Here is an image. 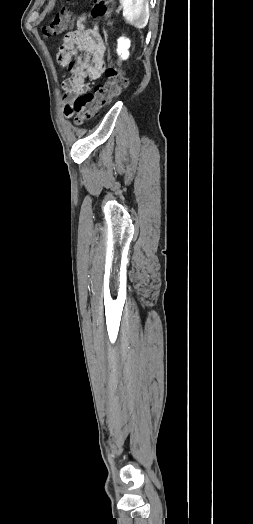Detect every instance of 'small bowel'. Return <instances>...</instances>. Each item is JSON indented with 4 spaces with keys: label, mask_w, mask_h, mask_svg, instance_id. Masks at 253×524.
<instances>
[{
    "label": "small bowel",
    "mask_w": 253,
    "mask_h": 524,
    "mask_svg": "<svg viewBox=\"0 0 253 524\" xmlns=\"http://www.w3.org/2000/svg\"><path fill=\"white\" fill-rule=\"evenodd\" d=\"M88 17L82 16L78 29L72 27L68 34L62 36L57 54L58 62L67 67L71 76L65 81L64 99L73 102L82 96L89 88L90 80H98L102 76L104 66L105 46L97 27L85 28ZM82 54L75 56L76 49Z\"/></svg>",
    "instance_id": "obj_1"
}]
</instances>
